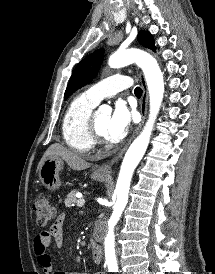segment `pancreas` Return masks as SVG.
Segmentation results:
<instances>
[{"label": "pancreas", "instance_id": "cf45deb5", "mask_svg": "<svg viewBox=\"0 0 215 274\" xmlns=\"http://www.w3.org/2000/svg\"><path fill=\"white\" fill-rule=\"evenodd\" d=\"M77 192H78V190H73L67 195V197L65 199L66 207H72L73 203L77 202V198H76Z\"/></svg>", "mask_w": 215, "mask_h": 274}]
</instances>
